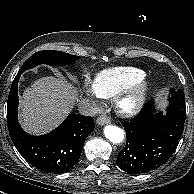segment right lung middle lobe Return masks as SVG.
<instances>
[{
    "label": "right lung middle lobe",
    "mask_w": 194,
    "mask_h": 194,
    "mask_svg": "<svg viewBox=\"0 0 194 194\" xmlns=\"http://www.w3.org/2000/svg\"><path fill=\"white\" fill-rule=\"evenodd\" d=\"M79 59V56L71 55L68 53L44 50L34 53L20 68V72H24L39 64H51V65H66L75 62Z\"/></svg>",
    "instance_id": "dd1d6c3e"
}]
</instances>
